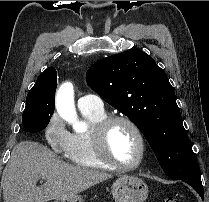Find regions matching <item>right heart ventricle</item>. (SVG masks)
I'll use <instances>...</instances> for the list:
<instances>
[{"mask_svg":"<svg viewBox=\"0 0 209 202\" xmlns=\"http://www.w3.org/2000/svg\"><path fill=\"white\" fill-rule=\"evenodd\" d=\"M81 113L90 124V128L84 132L71 134L65 157L70 162L84 168L108 169L109 167L103 164L96 155L92 141L93 128L106 118V114L104 111L98 112L89 110L81 111Z\"/></svg>","mask_w":209,"mask_h":202,"instance_id":"obj_1","label":"right heart ventricle"}]
</instances>
